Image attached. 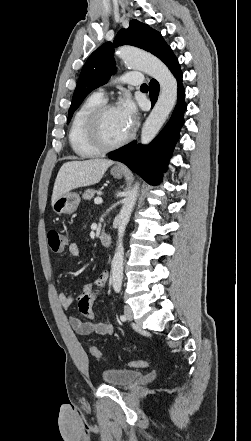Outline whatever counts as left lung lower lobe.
Returning a JSON list of instances; mask_svg holds the SVG:
<instances>
[{"mask_svg": "<svg viewBox=\"0 0 251 441\" xmlns=\"http://www.w3.org/2000/svg\"><path fill=\"white\" fill-rule=\"evenodd\" d=\"M162 61L174 74L178 82V102L170 120L156 139L148 146L139 144L135 147L134 142L119 148L109 156L110 159L127 165L151 185L158 184L161 180L160 172L167 169L168 160L184 123L183 113L186 110V103L184 102L185 89L182 86L183 74L178 59L173 54L171 48ZM159 90V83L152 79L149 83L152 106L157 101Z\"/></svg>", "mask_w": 251, "mask_h": 441, "instance_id": "left-lung-lower-lobe-1", "label": "left lung lower lobe"}]
</instances>
